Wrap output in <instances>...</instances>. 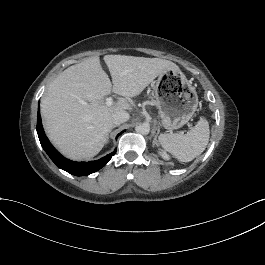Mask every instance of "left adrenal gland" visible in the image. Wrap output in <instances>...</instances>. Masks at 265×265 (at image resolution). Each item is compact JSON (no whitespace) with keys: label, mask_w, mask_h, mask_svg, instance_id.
<instances>
[{"label":"left adrenal gland","mask_w":265,"mask_h":265,"mask_svg":"<svg viewBox=\"0 0 265 265\" xmlns=\"http://www.w3.org/2000/svg\"><path fill=\"white\" fill-rule=\"evenodd\" d=\"M159 132H160V128H158V131H157V133H156V135H155V137H154V140H153V146H154V147L157 146L156 136L159 134Z\"/></svg>","instance_id":"obj_1"}]
</instances>
